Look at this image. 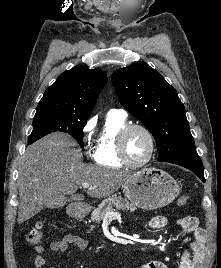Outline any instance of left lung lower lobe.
Returning <instances> with one entry per match:
<instances>
[{"label":"left lung lower lobe","instance_id":"0a47b994","mask_svg":"<svg viewBox=\"0 0 221 268\" xmlns=\"http://www.w3.org/2000/svg\"><path fill=\"white\" fill-rule=\"evenodd\" d=\"M167 162L190 169L203 182H205L202 161L196 151H190L180 154L172 159H169Z\"/></svg>","mask_w":221,"mask_h":268}]
</instances>
